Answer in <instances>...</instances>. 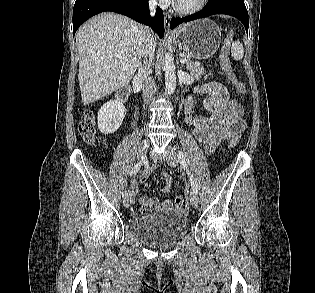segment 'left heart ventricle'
Returning <instances> with one entry per match:
<instances>
[{
  "mask_svg": "<svg viewBox=\"0 0 315 293\" xmlns=\"http://www.w3.org/2000/svg\"><path fill=\"white\" fill-rule=\"evenodd\" d=\"M175 2L182 7H192L195 6L199 0H175Z\"/></svg>",
  "mask_w": 315,
  "mask_h": 293,
  "instance_id": "obj_1",
  "label": "left heart ventricle"
}]
</instances>
